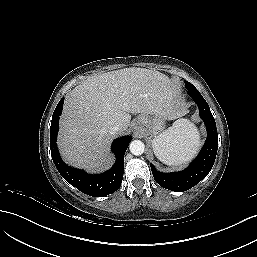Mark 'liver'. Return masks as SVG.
<instances>
[{"instance_id": "6515ba94", "label": "liver", "mask_w": 257, "mask_h": 257, "mask_svg": "<svg viewBox=\"0 0 257 257\" xmlns=\"http://www.w3.org/2000/svg\"><path fill=\"white\" fill-rule=\"evenodd\" d=\"M162 111L173 120L184 112L177 103L171 80L145 68H124L87 78L65 99L60 120L58 145L72 165L92 172L107 168L113 134L110 127L120 125L119 134L130 125V113Z\"/></svg>"}]
</instances>
